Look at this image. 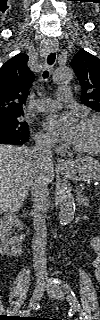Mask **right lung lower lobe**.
<instances>
[{
  "label": "right lung lower lobe",
  "instance_id": "1",
  "mask_svg": "<svg viewBox=\"0 0 100 320\" xmlns=\"http://www.w3.org/2000/svg\"><path fill=\"white\" fill-rule=\"evenodd\" d=\"M27 140H28V137L27 138L11 137V138H5L0 140V144L23 145Z\"/></svg>",
  "mask_w": 100,
  "mask_h": 320
}]
</instances>
